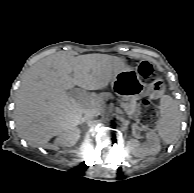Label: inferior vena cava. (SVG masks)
<instances>
[{
  "label": "inferior vena cava",
  "instance_id": "1",
  "mask_svg": "<svg viewBox=\"0 0 194 193\" xmlns=\"http://www.w3.org/2000/svg\"><path fill=\"white\" fill-rule=\"evenodd\" d=\"M99 115V111L96 108H89L86 110L84 120H90Z\"/></svg>",
  "mask_w": 194,
  "mask_h": 193
}]
</instances>
